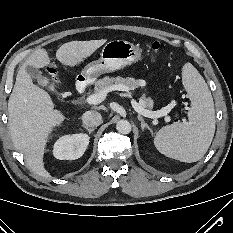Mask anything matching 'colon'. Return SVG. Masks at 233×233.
<instances>
[{"mask_svg":"<svg viewBox=\"0 0 233 233\" xmlns=\"http://www.w3.org/2000/svg\"><path fill=\"white\" fill-rule=\"evenodd\" d=\"M147 46L151 51L157 52L160 49L161 44L159 41H150ZM49 75L52 79H55V72L54 71H50Z\"/></svg>","mask_w":233,"mask_h":233,"instance_id":"1","label":"colon"}]
</instances>
